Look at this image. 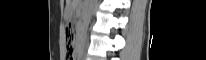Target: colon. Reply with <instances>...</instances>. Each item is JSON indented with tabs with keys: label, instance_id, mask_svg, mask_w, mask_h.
Here are the masks:
<instances>
[{
	"label": "colon",
	"instance_id": "colon-1",
	"mask_svg": "<svg viewBox=\"0 0 206 60\" xmlns=\"http://www.w3.org/2000/svg\"><path fill=\"white\" fill-rule=\"evenodd\" d=\"M65 39L67 46V60H73L74 50V31L71 25H67L65 28Z\"/></svg>",
	"mask_w": 206,
	"mask_h": 60
}]
</instances>
